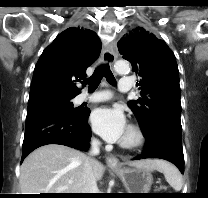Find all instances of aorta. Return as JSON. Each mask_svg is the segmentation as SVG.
<instances>
[{
    "label": "aorta",
    "mask_w": 208,
    "mask_h": 198,
    "mask_svg": "<svg viewBox=\"0 0 208 198\" xmlns=\"http://www.w3.org/2000/svg\"><path fill=\"white\" fill-rule=\"evenodd\" d=\"M115 71L118 74H125L129 71L130 67L127 61L119 60L115 63Z\"/></svg>",
    "instance_id": "aorta-1"
}]
</instances>
